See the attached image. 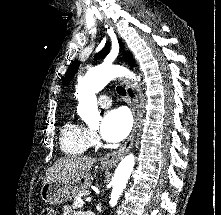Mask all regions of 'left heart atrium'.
<instances>
[{
    "label": "left heart atrium",
    "instance_id": "obj_1",
    "mask_svg": "<svg viewBox=\"0 0 221 215\" xmlns=\"http://www.w3.org/2000/svg\"><path fill=\"white\" fill-rule=\"evenodd\" d=\"M131 118L129 113L118 108L106 113L103 118L100 133L104 140L108 142H119L130 132Z\"/></svg>",
    "mask_w": 221,
    "mask_h": 215
}]
</instances>
